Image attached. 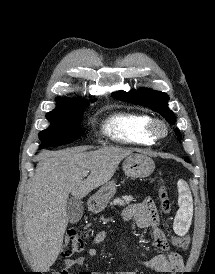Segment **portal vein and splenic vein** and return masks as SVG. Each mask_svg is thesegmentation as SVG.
<instances>
[{"mask_svg": "<svg viewBox=\"0 0 215 274\" xmlns=\"http://www.w3.org/2000/svg\"><path fill=\"white\" fill-rule=\"evenodd\" d=\"M88 173H89V171H84V172L82 173L83 177H86V176L88 175Z\"/></svg>", "mask_w": 215, "mask_h": 274, "instance_id": "obj_1", "label": "portal vein and splenic vein"}]
</instances>
